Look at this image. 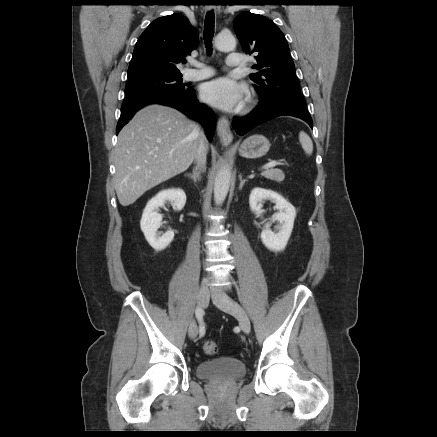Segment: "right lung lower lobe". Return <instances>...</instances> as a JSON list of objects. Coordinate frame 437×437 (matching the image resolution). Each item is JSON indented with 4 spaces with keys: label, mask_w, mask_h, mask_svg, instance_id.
I'll use <instances>...</instances> for the list:
<instances>
[{
    "label": "right lung lower lobe",
    "mask_w": 437,
    "mask_h": 437,
    "mask_svg": "<svg viewBox=\"0 0 437 437\" xmlns=\"http://www.w3.org/2000/svg\"><path fill=\"white\" fill-rule=\"evenodd\" d=\"M148 104H162L178 109L190 118L202 123L208 139L210 141L212 140L216 128V118L205 104L197 100L194 90H186L183 93H155L137 99L127 100L121 107V115L117 124L116 133H119L136 111Z\"/></svg>",
    "instance_id": "right-lung-lower-lobe-1"
}]
</instances>
